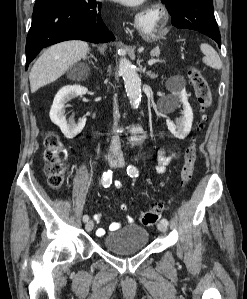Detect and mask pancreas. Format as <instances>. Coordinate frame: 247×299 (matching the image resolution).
I'll use <instances>...</instances> for the list:
<instances>
[{"mask_svg": "<svg viewBox=\"0 0 247 299\" xmlns=\"http://www.w3.org/2000/svg\"><path fill=\"white\" fill-rule=\"evenodd\" d=\"M158 54H159V50H154V51L151 53L152 56H158Z\"/></svg>", "mask_w": 247, "mask_h": 299, "instance_id": "cf45deb5", "label": "pancreas"}]
</instances>
